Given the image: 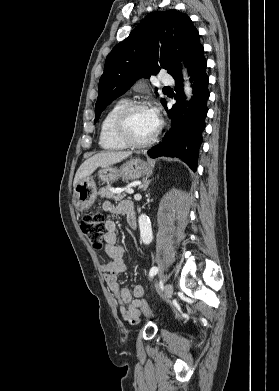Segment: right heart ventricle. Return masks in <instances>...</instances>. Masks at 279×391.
Here are the masks:
<instances>
[{
	"label": "right heart ventricle",
	"mask_w": 279,
	"mask_h": 391,
	"mask_svg": "<svg viewBox=\"0 0 279 391\" xmlns=\"http://www.w3.org/2000/svg\"><path fill=\"white\" fill-rule=\"evenodd\" d=\"M126 103V100L120 99L105 113L100 125L99 144L101 148L110 151L127 148V146L116 137L114 132V121L116 115Z\"/></svg>",
	"instance_id": "obj_1"
}]
</instances>
